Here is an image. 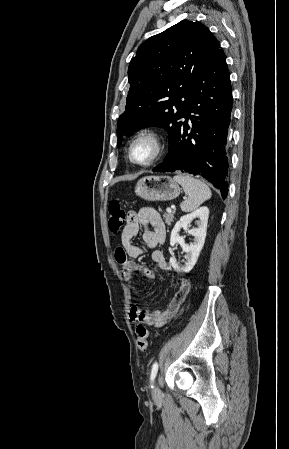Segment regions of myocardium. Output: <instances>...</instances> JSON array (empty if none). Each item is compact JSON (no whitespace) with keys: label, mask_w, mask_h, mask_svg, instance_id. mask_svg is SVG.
<instances>
[{"label":"myocardium","mask_w":289,"mask_h":449,"mask_svg":"<svg viewBox=\"0 0 289 449\" xmlns=\"http://www.w3.org/2000/svg\"><path fill=\"white\" fill-rule=\"evenodd\" d=\"M142 140H148L153 144L154 152L150 159L144 162H138L133 157V147L136 143ZM164 151V140L162 135L153 129H144L139 131L131 140L128 146V158L129 160L138 166H149L156 162Z\"/></svg>","instance_id":"f54148a6"}]
</instances>
